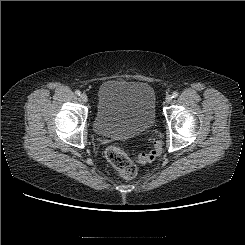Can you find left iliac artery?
Returning <instances> with one entry per match:
<instances>
[{
  "label": "left iliac artery",
  "mask_w": 245,
  "mask_h": 245,
  "mask_svg": "<svg viewBox=\"0 0 245 245\" xmlns=\"http://www.w3.org/2000/svg\"><path fill=\"white\" fill-rule=\"evenodd\" d=\"M177 96H178V92L174 91V92L172 93V98H176Z\"/></svg>",
  "instance_id": "left-iliac-artery-1"
}]
</instances>
